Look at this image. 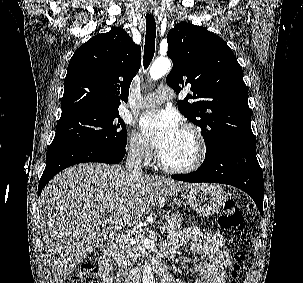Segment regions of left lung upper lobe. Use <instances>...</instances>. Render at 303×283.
Segmentation results:
<instances>
[{
  "instance_id": "left-lung-upper-lobe-1",
  "label": "left lung upper lobe",
  "mask_w": 303,
  "mask_h": 283,
  "mask_svg": "<svg viewBox=\"0 0 303 283\" xmlns=\"http://www.w3.org/2000/svg\"><path fill=\"white\" fill-rule=\"evenodd\" d=\"M167 41L173 68L166 83L176 93L190 87L192 94L178 101V109L201 129L206 155L230 139L254 138L242 68L227 43L186 22L172 28Z\"/></svg>"
}]
</instances>
